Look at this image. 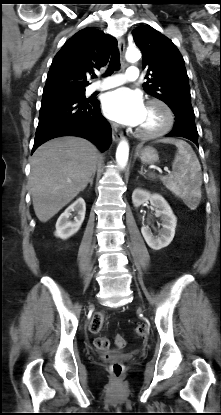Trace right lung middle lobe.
Returning <instances> with one entry per match:
<instances>
[{"instance_id": "right-lung-middle-lobe-1", "label": "right lung middle lobe", "mask_w": 221, "mask_h": 415, "mask_svg": "<svg viewBox=\"0 0 221 415\" xmlns=\"http://www.w3.org/2000/svg\"><path fill=\"white\" fill-rule=\"evenodd\" d=\"M53 94L73 96V97H78V98H86L85 97V88L75 89V90H67V91L57 92V93H53Z\"/></svg>"}]
</instances>
